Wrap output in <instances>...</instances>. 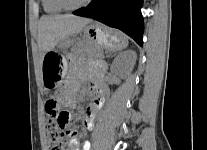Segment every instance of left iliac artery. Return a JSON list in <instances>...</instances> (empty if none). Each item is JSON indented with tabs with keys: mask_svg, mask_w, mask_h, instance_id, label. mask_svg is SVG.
<instances>
[{
	"mask_svg": "<svg viewBox=\"0 0 207 150\" xmlns=\"http://www.w3.org/2000/svg\"><path fill=\"white\" fill-rule=\"evenodd\" d=\"M83 148H84V150H89L90 149V143L88 141H85Z\"/></svg>",
	"mask_w": 207,
	"mask_h": 150,
	"instance_id": "obj_1",
	"label": "left iliac artery"
}]
</instances>
